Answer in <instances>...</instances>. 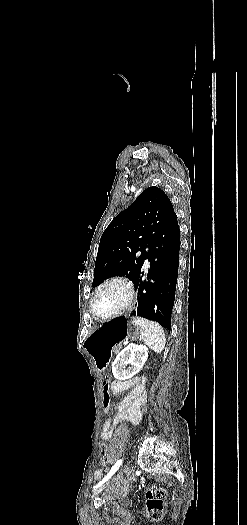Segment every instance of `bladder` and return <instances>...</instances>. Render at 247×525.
<instances>
[{
    "mask_svg": "<svg viewBox=\"0 0 247 525\" xmlns=\"http://www.w3.org/2000/svg\"><path fill=\"white\" fill-rule=\"evenodd\" d=\"M124 503H125V504H129V503H130V500H129V499H126V500L124 501Z\"/></svg>",
    "mask_w": 247,
    "mask_h": 525,
    "instance_id": "1",
    "label": "bladder"
}]
</instances>
